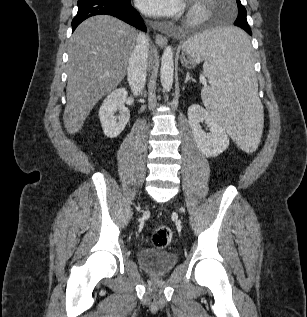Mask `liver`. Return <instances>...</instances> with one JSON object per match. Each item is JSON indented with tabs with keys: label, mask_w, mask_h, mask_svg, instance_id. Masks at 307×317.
Wrapping results in <instances>:
<instances>
[{
	"label": "liver",
	"mask_w": 307,
	"mask_h": 317,
	"mask_svg": "<svg viewBox=\"0 0 307 317\" xmlns=\"http://www.w3.org/2000/svg\"><path fill=\"white\" fill-rule=\"evenodd\" d=\"M137 37L133 27L108 15L91 17L74 31L63 114L68 133L78 132L95 104L125 77Z\"/></svg>",
	"instance_id": "liver-1"
}]
</instances>
